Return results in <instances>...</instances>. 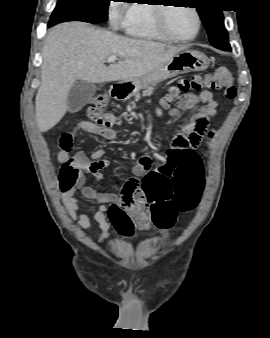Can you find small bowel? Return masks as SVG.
Masks as SVG:
<instances>
[{
  "mask_svg": "<svg viewBox=\"0 0 270 338\" xmlns=\"http://www.w3.org/2000/svg\"><path fill=\"white\" fill-rule=\"evenodd\" d=\"M200 100L203 104L201 116L209 120L215 116L217 111V103L211 92L203 90L200 93ZM192 95L183 94L176 99V106L186 109L191 106ZM196 122L193 121L186 128L183 134L186 142L180 146H171L169 150V159L154 171L146 173V181L148 187L157 197V202L172 203V195L176 184L187 185L195 172H200V160L195 151V146L191 141V131ZM81 132L94 135L101 139L113 140L116 138L115 131L111 128L99 126L90 121H82L77 123L68 132L60 137V145L67 146L68 150L60 149L58 154L59 160L62 162H72L82 172L78 176L74 186L66 189L62 193V203L72 220H76L81 229H87L91 225V218L86 213L78 214L80 205L75 199V194L79 192L85 199L93 202L97 206L93 219L98 224L100 233L99 241L104 242L110 238V230L113 226L121 235L130 236L131 231L125 227H117L111 223V218L115 209L124 208L128 213L132 223L140 229H148L149 221L147 214L140 211L130 200V195L134 189L135 178L128 180L119 196L100 192L95 188L87 185L85 173H90L95 180H101V171L108 165V161L103 159L104 149L97 148L90 155L84 151H78L72 154V142ZM140 162V164L138 163ZM150 165V161L146 157L139 158L134 166L135 173L138 175L145 174V168ZM177 212L173 215L172 221L168 225H158L161 228H169L176 219Z\"/></svg>",
  "mask_w": 270,
  "mask_h": 338,
  "instance_id": "c3829d8e",
  "label": "small bowel"
}]
</instances>
